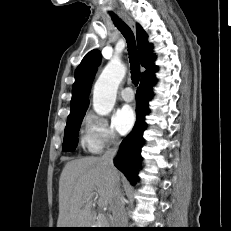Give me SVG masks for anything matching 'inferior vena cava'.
Returning a JSON list of instances; mask_svg holds the SVG:
<instances>
[{"label":"inferior vena cava","instance_id":"inferior-vena-cava-1","mask_svg":"<svg viewBox=\"0 0 231 231\" xmlns=\"http://www.w3.org/2000/svg\"><path fill=\"white\" fill-rule=\"evenodd\" d=\"M118 147L119 141L117 138L114 146L111 149L107 150L101 158L111 173H114L116 170L114 167L113 159L117 154ZM113 220L115 228H125L127 226L128 220L125 212V203L118 181H115L114 184Z\"/></svg>","mask_w":231,"mask_h":231}]
</instances>
